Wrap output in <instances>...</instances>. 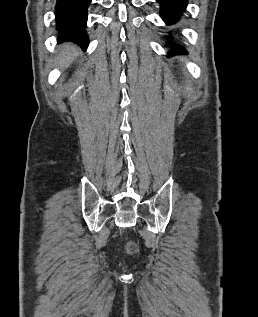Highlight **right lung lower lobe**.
Wrapping results in <instances>:
<instances>
[{
    "mask_svg": "<svg viewBox=\"0 0 258 317\" xmlns=\"http://www.w3.org/2000/svg\"><path fill=\"white\" fill-rule=\"evenodd\" d=\"M92 0H57L55 7L58 41H70L86 50L89 40L85 32L87 8Z\"/></svg>",
    "mask_w": 258,
    "mask_h": 317,
    "instance_id": "1",
    "label": "right lung lower lobe"
}]
</instances>
